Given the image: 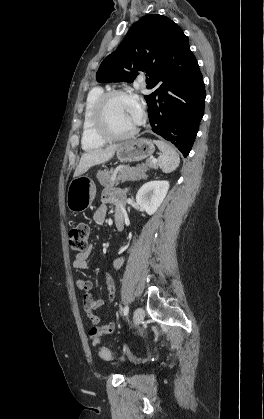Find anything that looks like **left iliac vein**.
I'll use <instances>...</instances> for the list:
<instances>
[{"instance_id": "left-iliac-vein-1", "label": "left iliac vein", "mask_w": 264, "mask_h": 419, "mask_svg": "<svg viewBox=\"0 0 264 419\" xmlns=\"http://www.w3.org/2000/svg\"><path fill=\"white\" fill-rule=\"evenodd\" d=\"M145 316V312L141 307H138L135 311H134V316H133V321H134V325L138 326L141 321L144 319Z\"/></svg>"}]
</instances>
